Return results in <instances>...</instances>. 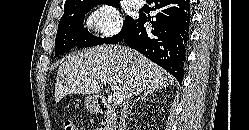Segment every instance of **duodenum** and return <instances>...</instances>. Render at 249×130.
Wrapping results in <instances>:
<instances>
[{
  "label": "duodenum",
  "instance_id": "duodenum-1",
  "mask_svg": "<svg viewBox=\"0 0 249 130\" xmlns=\"http://www.w3.org/2000/svg\"><path fill=\"white\" fill-rule=\"evenodd\" d=\"M98 110L101 113H110L112 111V108L105 99L99 98L98 99Z\"/></svg>",
  "mask_w": 249,
  "mask_h": 130
}]
</instances>
